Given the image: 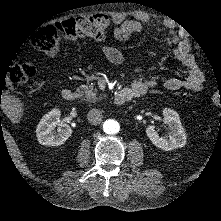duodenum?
<instances>
[{
  "instance_id": "obj_1",
  "label": "duodenum",
  "mask_w": 221,
  "mask_h": 221,
  "mask_svg": "<svg viewBox=\"0 0 221 221\" xmlns=\"http://www.w3.org/2000/svg\"><path fill=\"white\" fill-rule=\"evenodd\" d=\"M135 96H138V94L135 93L133 90L126 88V89H123L115 94L114 102L117 105H122L125 102L131 100ZM62 98L66 102H74L78 98V93L71 90V89H64L62 91Z\"/></svg>"
}]
</instances>
